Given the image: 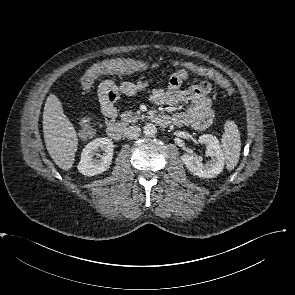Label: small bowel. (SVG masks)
<instances>
[{
    "mask_svg": "<svg viewBox=\"0 0 295 295\" xmlns=\"http://www.w3.org/2000/svg\"><path fill=\"white\" fill-rule=\"evenodd\" d=\"M119 60H123L130 64L132 66V72L145 70L147 67L144 62L139 60ZM185 64H189L188 68H191L193 65L190 62ZM146 87L147 84L142 81L123 82L120 85H117L112 80H105L100 83L98 92L101 110L105 116L106 123L109 125L114 122L117 112L116 103L120 98V95L133 96L143 94L146 90ZM210 91L211 86L207 83H201L198 85H193L187 89H181V86L178 87L169 82L166 90H153L147 94V98L149 101L155 104L168 105L171 107L179 106L182 103H190V106L187 110L173 115L170 120L177 126L191 127L194 130L201 131L210 125L213 118L211 100L208 97Z\"/></svg>",
    "mask_w": 295,
    "mask_h": 295,
    "instance_id": "1",
    "label": "small bowel"
}]
</instances>
